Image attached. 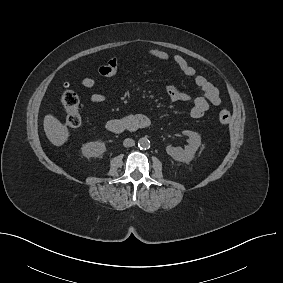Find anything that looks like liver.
Listing matches in <instances>:
<instances>
[{
    "mask_svg": "<svg viewBox=\"0 0 283 283\" xmlns=\"http://www.w3.org/2000/svg\"><path fill=\"white\" fill-rule=\"evenodd\" d=\"M43 126L48 140L54 146H62L68 141L69 130L53 115L48 114L44 117Z\"/></svg>",
    "mask_w": 283,
    "mask_h": 283,
    "instance_id": "liver-1",
    "label": "liver"
}]
</instances>
